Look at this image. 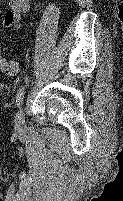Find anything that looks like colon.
I'll list each match as a JSON object with an SVG mask.
<instances>
[{
  "instance_id": "5ec220e1",
  "label": "colon",
  "mask_w": 123,
  "mask_h": 201,
  "mask_svg": "<svg viewBox=\"0 0 123 201\" xmlns=\"http://www.w3.org/2000/svg\"><path fill=\"white\" fill-rule=\"evenodd\" d=\"M0 71L8 75H15L18 72V64L15 61L5 59L0 54Z\"/></svg>"
}]
</instances>
